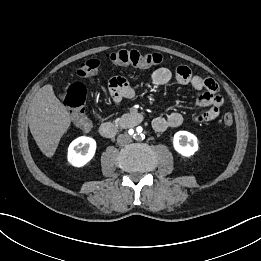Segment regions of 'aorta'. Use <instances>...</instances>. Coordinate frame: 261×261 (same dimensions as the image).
<instances>
[{
	"mask_svg": "<svg viewBox=\"0 0 261 261\" xmlns=\"http://www.w3.org/2000/svg\"><path fill=\"white\" fill-rule=\"evenodd\" d=\"M134 135H139V129H137V133H136V134H134Z\"/></svg>",
	"mask_w": 261,
	"mask_h": 261,
	"instance_id": "obj_1",
	"label": "aorta"
}]
</instances>
